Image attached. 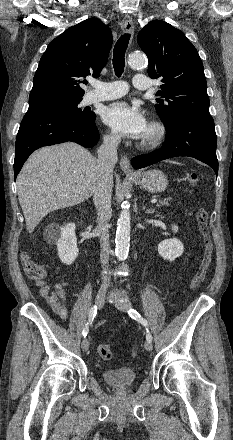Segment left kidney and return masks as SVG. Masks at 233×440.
Masks as SVG:
<instances>
[{"instance_id":"left-kidney-1","label":"left kidney","mask_w":233,"mask_h":440,"mask_svg":"<svg viewBox=\"0 0 233 440\" xmlns=\"http://www.w3.org/2000/svg\"><path fill=\"white\" fill-rule=\"evenodd\" d=\"M172 231L176 233L178 227L172 225ZM184 252V247L182 242L177 238L165 239L161 241L158 245L159 255L168 261H174L176 258L180 257Z\"/></svg>"}]
</instances>
